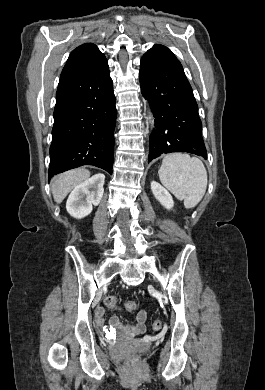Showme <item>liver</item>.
Segmentation results:
<instances>
[{"mask_svg":"<svg viewBox=\"0 0 265 390\" xmlns=\"http://www.w3.org/2000/svg\"><path fill=\"white\" fill-rule=\"evenodd\" d=\"M89 177L90 172L85 168L73 169L59 174L52 181L51 190L54 200L61 203L73 188L88 180Z\"/></svg>","mask_w":265,"mask_h":390,"instance_id":"1","label":"liver"}]
</instances>
